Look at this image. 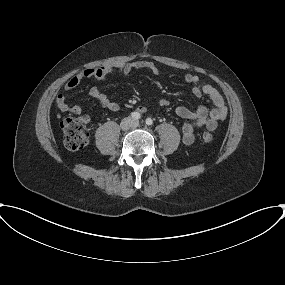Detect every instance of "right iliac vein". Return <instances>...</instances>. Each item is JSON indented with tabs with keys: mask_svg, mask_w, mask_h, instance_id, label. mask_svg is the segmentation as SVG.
Wrapping results in <instances>:
<instances>
[{
	"mask_svg": "<svg viewBox=\"0 0 285 285\" xmlns=\"http://www.w3.org/2000/svg\"><path fill=\"white\" fill-rule=\"evenodd\" d=\"M133 121L130 118H125L120 123V128L127 131L132 126Z\"/></svg>",
	"mask_w": 285,
	"mask_h": 285,
	"instance_id": "obj_1",
	"label": "right iliac vein"
}]
</instances>
